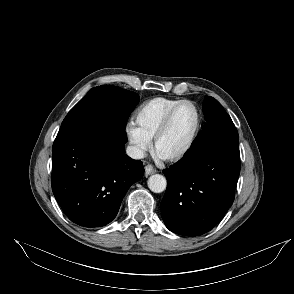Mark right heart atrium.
Masks as SVG:
<instances>
[{
  "instance_id": "right-heart-atrium-1",
  "label": "right heart atrium",
  "mask_w": 294,
  "mask_h": 294,
  "mask_svg": "<svg viewBox=\"0 0 294 294\" xmlns=\"http://www.w3.org/2000/svg\"><path fill=\"white\" fill-rule=\"evenodd\" d=\"M127 138L136 155H143L150 147V140L140 131L136 124L129 122L126 126Z\"/></svg>"
}]
</instances>
